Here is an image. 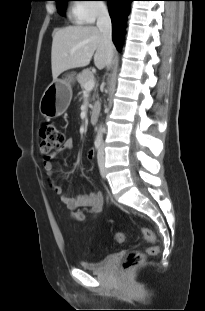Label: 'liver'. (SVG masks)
Returning <instances> with one entry per match:
<instances>
[{
    "label": "liver",
    "mask_w": 205,
    "mask_h": 311,
    "mask_svg": "<svg viewBox=\"0 0 205 311\" xmlns=\"http://www.w3.org/2000/svg\"><path fill=\"white\" fill-rule=\"evenodd\" d=\"M93 56L98 69L107 65V47L97 27L68 26L53 33L51 66L54 80L66 70L89 65Z\"/></svg>",
    "instance_id": "6515ba94"
}]
</instances>
